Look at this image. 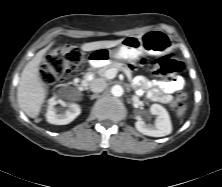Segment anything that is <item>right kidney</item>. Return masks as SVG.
<instances>
[{
    "mask_svg": "<svg viewBox=\"0 0 222 187\" xmlns=\"http://www.w3.org/2000/svg\"><path fill=\"white\" fill-rule=\"evenodd\" d=\"M57 104H61L63 107L67 106L68 109L63 110L62 108H56L55 105ZM80 113L81 109L77 104L72 103L67 105L61 99L53 97L48 101L46 118L51 124L66 125L72 122Z\"/></svg>",
    "mask_w": 222,
    "mask_h": 187,
    "instance_id": "obj_1",
    "label": "right kidney"
}]
</instances>
